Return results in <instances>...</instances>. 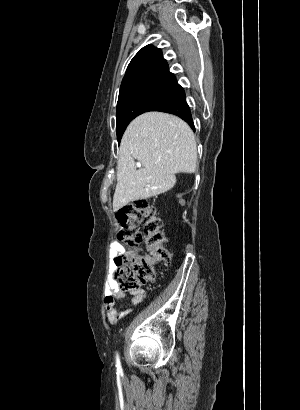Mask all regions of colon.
Masks as SVG:
<instances>
[{"label":"colon","mask_w":300,"mask_h":410,"mask_svg":"<svg viewBox=\"0 0 300 410\" xmlns=\"http://www.w3.org/2000/svg\"><path fill=\"white\" fill-rule=\"evenodd\" d=\"M120 223V238L132 246L143 243L145 255L128 252L116 259L113 283L122 291L136 290L156 281L160 266H168L171 254L167 237L155 207L146 200H138L116 213Z\"/></svg>","instance_id":"5ec220e1"}]
</instances>
